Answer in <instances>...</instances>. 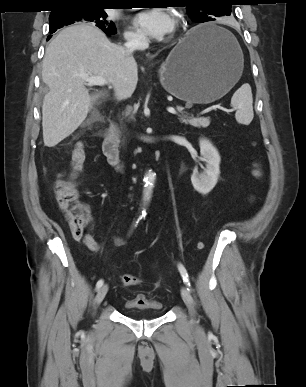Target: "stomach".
Returning a JSON list of instances; mask_svg holds the SVG:
<instances>
[{
    "label": "stomach",
    "mask_w": 306,
    "mask_h": 387,
    "mask_svg": "<svg viewBox=\"0 0 306 387\" xmlns=\"http://www.w3.org/2000/svg\"><path fill=\"white\" fill-rule=\"evenodd\" d=\"M219 33L220 35H213ZM244 67L236 39L213 23L191 29L159 69L162 86L191 105L220 99L238 82Z\"/></svg>",
    "instance_id": "0dacf381"
}]
</instances>
